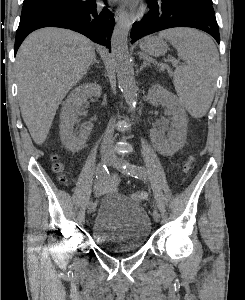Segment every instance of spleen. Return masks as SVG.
Here are the masks:
<instances>
[{
  "label": "spleen",
  "instance_id": "spleen-1",
  "mask_svg": "<svg viewBox=\"0 0 245 300\" xmlns=\"http://www.w3.org/2000/svg\"><path fill=\"white\" fill-rule=\"evenodd\" d=\"M168 40L186 65L174 72V86L182 105L194 117H203L213 100L219 61L213 41L194 29L175 28L159 33ZM160 70H164L161 65Z\"/></svg>",
  "mask_w": 245,
  "mask_h": 300
}]
</instances>
